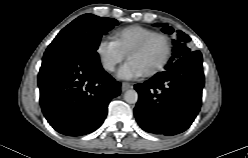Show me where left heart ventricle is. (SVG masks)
<instances>
[{
    "mask_svg": "<svg viewBox=\"0 0 248 158\" xmlns=\"http://www.w3.org/2000/svg\"><path fill=\"white\" fill-rule=\"evenodd\" d=\"M165 49L164 41L161 38H154L141 51L133 53L129 60L134 61L146 73L162 61Z\"/></svg>",
    "mask_w": 248,
    "mask_h": 158,
    "instance_id": "1",
    "label": "left heart ventricle"
}]
</instances>
